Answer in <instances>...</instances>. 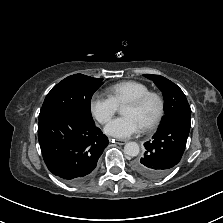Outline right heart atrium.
Masks as SVG:
<instances>
[{
  "label": "right heart atrium",
  "instance_id": "1",
  "mask_svg": "<svg viewBox=\"0 0 223 223\" xmlns=\"http://www.w3.org/2000/svg\"><path fill=\"white\" fill-rule=\"evenodd\" d=\"M90 110L99 123L106 124L117 112L118 105L111 97L95 93L90 100Z\"/></svg>",
  "mask_w": 223,
  "mask_h": 223
}]
</instances>
